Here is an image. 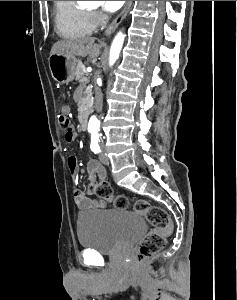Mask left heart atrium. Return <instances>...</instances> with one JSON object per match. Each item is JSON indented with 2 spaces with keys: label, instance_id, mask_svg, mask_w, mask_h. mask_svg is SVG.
<instances>
[{
  "label": "left heart atrium",
  "instance_id": "39dd6f15",
  "mask_svg": "<svg viewBox=\"0 0 237 300\" xmlns=\"http://www.w3.org/2000/svg\"><path fill=\"white\" fill-rule=\"evenodd\" d=\"M125 1H104L103 3V9L106 12L112 13L118 11Z\"/></svg>",
  "mask_w": 237,
  "mask_h": 300
}]
</instances>
